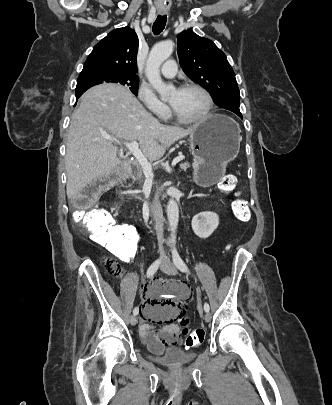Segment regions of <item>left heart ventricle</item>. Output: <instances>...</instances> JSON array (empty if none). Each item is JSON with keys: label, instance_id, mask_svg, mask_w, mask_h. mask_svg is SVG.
I'll list each match as a JSON object with an SVG mask.
<instances>
[{"label": "left heart ventricle", "instance_id": "left-heart-ventricle-1", "mask_svg": "<svg viewBox=\"0 0 332 405\" xmlns=\"http://www.w3.org/2000/svg\"><path fill=\"white\" fill-rule=\"evenodd\" d=\"M168 102L180 116L186 119L198 117L206 108L204 96L194 89L174 90Z\"/></svg>", "mask_w": 332, "mask_h": 405}]
</instances>
